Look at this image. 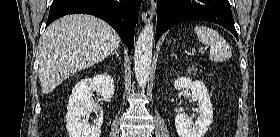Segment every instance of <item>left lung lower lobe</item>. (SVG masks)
<instances>
[{
	"instance_id": "obj_1",
	"label": "left lung lower lobe",
	"mask_w": 280,
	"mask_h": 137,
	"mask_svg": "<svg viewBox=\"0 0 280 137\" xmlns=\"http://www.w3.org/2000/svg\"><path fill=\"white\" fill-rule=\"evenodd\" d=\"M189 20L219 24L238 39L228 0H157L156 38L174 25Z\"/></svg>"
}]
</instances>
